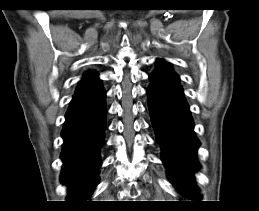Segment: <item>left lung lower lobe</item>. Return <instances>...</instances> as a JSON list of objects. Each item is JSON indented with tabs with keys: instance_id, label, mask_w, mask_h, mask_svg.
I'll return each instance as SVG.
<instances>
[{
	"instance_id": "1",
	"label": "left lung lower lobe",
	"mask_w": 259,
	"mask_h": 211,
	"mask_svg": "<svg viewBox=\"0 0 259 211\" xmlns=\"http://www.w3.org/2000/svg\"><path fill=\"white\" fill-rule=\"evenodd\" d=\"M147 89L151 121L168 177L184 196L197 199L198 188L193 173L200 166L196 157L199 141L179 82L149 75Z\"/></svg>"
}]
</instances>
